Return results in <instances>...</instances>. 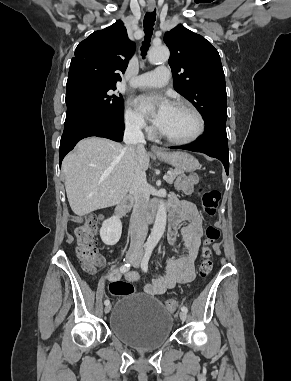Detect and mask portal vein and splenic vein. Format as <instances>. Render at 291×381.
<instances>
[{"label":"portal vein and splenic vein","mask_w":291,"mask_h":381,"mask_svg":"<svg viewBox=\"0 0 291 381\" xmlns=\"http://www.w3.org/2000/svg\"><path fill=\"white\" fill-rule=\"evenodd\" d=\"M163 179H164V180H167V179H168V175H164V176H163Z\"/></svg>","instance_id":"1"}]
</instances>
